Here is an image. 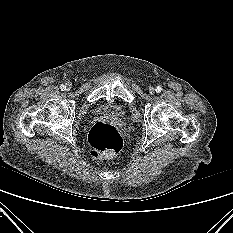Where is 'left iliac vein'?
<instances>
[{
    "label": "left iliac vein",
    "instance_id": "obj_1",
    "mask_svg": "<svg viewBox=\"0 0 233 233\" xmlns=\"http://www.w3.org/2000/svg\"><path fill=\"white\" fill-rule=\"evenodd\" d=\"M149 93H150V94L155 93V88H154V87H149Z\"/></svg>",
    "mask_w": 233,
    "mask_h": 233
}]
</instances>
